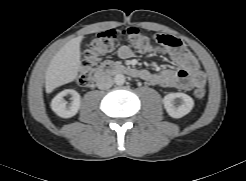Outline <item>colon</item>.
<instances>
[{
	"instance_id": "obj_1",
	"label": "colon",
	"mask_w": 246,
	"mask_h": 181,
	"mask_svg": "<svg viewBox=\"0 0 246 181\" xmlns=\"http://www.w3.org/2000/svg\"><path fill=\"white\" fill-rule=\"evenodd\" d=\"M119 32L115 29L100 32L91 40L85 51L84 60L78 74L77 82L85 85L91 79L104 55L113 51L117 46ZM122 37L139 53H148L155 47L150 38L137 27H128L121 32ZM153 39L163 47L180 48L181 41L171 35H155ZM196 99H203L206 95L204 87H197L193 91Z\"/></svg>"
}]
</instances>
